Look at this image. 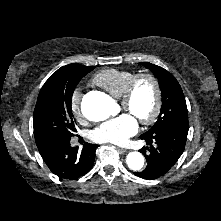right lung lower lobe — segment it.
Returning <instances> with one entry per match:
<instances>
[{
  "label": "right lung lower lobe",
  "mask_w": 221,
  "mask_h": 221,
  "mask_svg": "<svg viewBox=\"0 0 221 221\" xmlns=\"http://www.w3.org/2000/svg\"><path fill=\"white\" fill-rule=\"evenodd\" d=\"M70 139H49L37 144L51 172L62 179H75L86 174L95 160L97 145L86 142L82 150H78L70 145Z\"/></svg>",
  "instance_id": "1"
}]
</instances>
